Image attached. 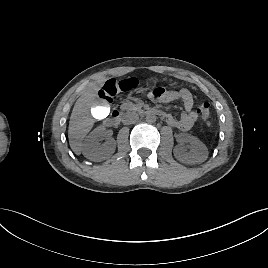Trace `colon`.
<instances>
[{
	"label": "colon",
	"instance_id": "obj_1",
	"mask_svg": "<svg viewBox=\"0 0 268 268\" xmlns=\"http://www.w3.org/2000/svg\"><path fill=\"white\" fill-rule=\"evenodd\" d=\"M138 81L135 78H129L124 80H108L99 91V97L103 100L110 101L119 92L128 91L137 86ZM197 113L200 115L202 122L205 125H209L210 104L205 101H201Z\"/></svg>",
	"mask_w": 268,
	"mask_h": 268
}]
</instances>
